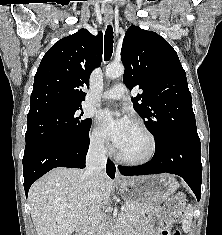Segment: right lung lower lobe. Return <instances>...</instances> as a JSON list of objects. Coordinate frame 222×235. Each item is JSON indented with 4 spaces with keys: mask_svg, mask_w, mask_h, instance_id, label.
<instances>
[{
    "mask_svg": "<svg viewBox=\"0 0 222 235\" xmlns=\"http://www.w3.org/2000/svg\"><path fill=\"white\" fill-rule=\"evenodd\" d=\"M90 140L84 143L50 142L24 152L23 175L26 197L32 183L55 167L84 168ZM115 166L109 160L107 174L115 177Z\"/></svg>",
    "mask_w": 222,
    "mask_h": 235,
    "instance_id": "1",
    "label": "right lung lower lobe"
}]
</instances>
